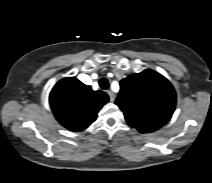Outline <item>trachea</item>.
I'll return each instance as SVG.
<instances>
[{"label":"trachea","mask_w":212,"mask_h":183,"mask_svg":"<svg viewBox=\"0 0 212 183\" xmlns=\"http://www.w3.org/2000/svg\"><path fill=\"white\" fill-rule=\"evenodd\" d=\"M99 85L103 90H106L109 88V82L106 78H101L99 80Z\"/></svg>","instance_id":"3493384b"}]
</instances>
